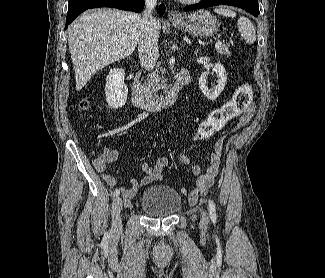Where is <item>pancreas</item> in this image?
I'll return each mask as SVG.
<instances>
[{
    "instance_id": "cf45deb5",
    "label": "pancreas",
    "mask_w": 325,
    "mask_h": 278,
    "mask_svg": "<svg viewBox=\"0 0 325 278\" xmlns=\"http://www.w3.org/2000/svg\"><path fill=\"white\" fill-rule=\"evenodd\" d=\"M217 52L221 55L230 56L229 47L227 44H223L220 47L216 48ZM165 69L162 67H158L156 71L149 75L147 80L144 82L143 90L146 95H148L152 99H160L163 96L158 95V91L163 90L164 93L167 90V80L164 77Z\"/></svg>"
}]
</instances>
